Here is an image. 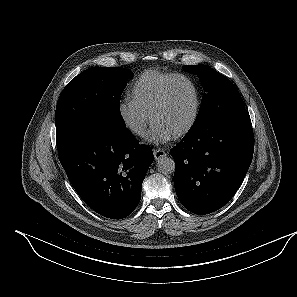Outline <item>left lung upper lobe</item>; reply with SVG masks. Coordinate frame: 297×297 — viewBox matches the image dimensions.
Returning a JSON list of instances; mask_svg holds the SVG:
<instances>
[{
	"mask_svg": "<svg viewBox=\"0 0 297 297\" xmlns=\"http://www.w3.org/2000/svg\"><path fill=\"white\" fill-rule=\"evenodd\" d=\"M183 69L197 75L204 90L200 110L190 130L204 127L235 110L245 109V104L236 87L224 75L201 64L185 65Z\"/></svg>",
	"mask_w": 297,
	"mask_h": 297,
	"instance_id": "1",
	"label": "left lung upper lobe"
}]
</instances>
